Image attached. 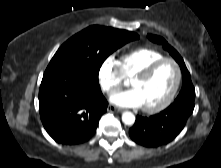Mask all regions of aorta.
Returning <instances> with one entry per match:
<instances>
[{
	"mask_svg": "<svg viewBox=\"0 0 221 168\" xmlns=\"http://www.w3.org/2000/svg\"><path fill=\"white\" fill-rule=\"evenodd\" d=\"M122 121L125 125H133L135 122V116L131 112H124L122 114Z\"/></svg>",
	"mask_w": 221,
	"mask_h": 168,
	"instance_id": "aorta-1",
	"label": "aorta"
}]
</instances>
